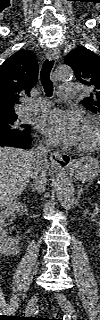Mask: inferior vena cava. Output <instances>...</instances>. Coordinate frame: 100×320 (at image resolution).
Wrapping results in <instances>:
<instances>
[{"label": "inferior vena cava", "instance_id": "obj_1", "mask_svg": "<svg viewBox=\"0 0 100 320\" xmlns=\"http://www.w3.org/2000/svg\"><path fill=\"white\" fill-rule=\"evenodd\" d=\"M49 143L44 142L40 143L39 146L33 149L31 152L34 155L35 159V172L33 175V182L34 187L38 191V193H43L45 191V186L47 182L46 178V165L47 162V155L49 153Z\"/></svg>", "mask_w": 100, "mask_h": 320}]
</instances>
